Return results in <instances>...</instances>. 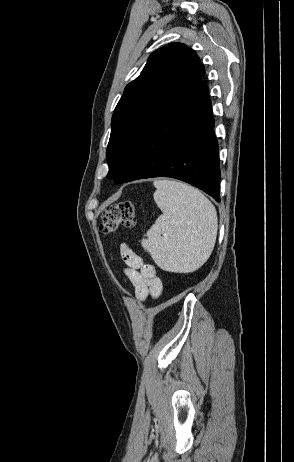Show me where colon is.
<instances>
[{
  "label": "colon",
  "instance_id": "obj_1",
  "mask_svg": "<svg viewBox=\"0 0 294 462\" xmlns=\"http://www.w3.org/2000/svg\"><path fill=\"white\" fill-rule=\"evenodd\" d=\"M135 223L134 206L126 200L111 206L102 213L100 231L103 234H109L120 226L133 227Z\"/></svg>",
  "mask_w": 294,
  "mask_h": 462
}]
</instances>
